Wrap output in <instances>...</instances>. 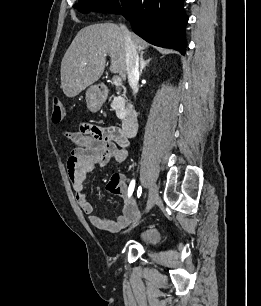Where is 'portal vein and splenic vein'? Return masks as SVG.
I'll return each instance as SVG.
<instances>
[{"label":"portal vein and splenic vein","instance_id":"18ae733b","mask_svg":"<svg viewBox=\"0 0 261 306\" xmlns=\"http://www.w3.org/2000/svg\"><path fill=\"white\" fill-rule=\"evenodd\" d=\"M113 83L115 86H121L122 85V79L119 76L113 77Z\"/></svg>","mask_w":261,"mask_h":306}]
</instances>
